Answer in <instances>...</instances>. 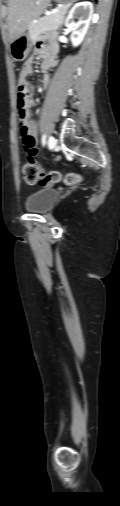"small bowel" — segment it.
<instances>
[{
  "label": "small bowel",
  "instance_id": "obj_1",
  "mask_svg": "<svg viewBox=\"0 0 120 506\" xmlns=\"http://www.w3.org/2000/svg\"><path fill=\"white\" fill-rule=\"evenodd\" d=\"M34 54L42 59L41 70L43 72V77L41 80L42 88L45 89L49 83L50 79L47 76V72L55 65L57 60V45L52 42L50 44H45L42 41H39L36 45ZM32 63L33 57L28 58L21 68V72L19 75V85L24 86L29 90V97L27 98V103L24 108L23 114L20 116V131L22 135H30L35 141L38 138V129L31 117V107L33 106V99L31 97V87L27 78L32 74Z\"/></svg>",
  "mask_w": 120,
  "mask_h": 506
}]
</instances>
